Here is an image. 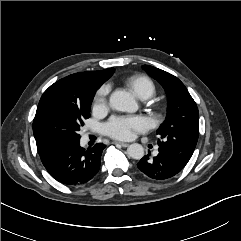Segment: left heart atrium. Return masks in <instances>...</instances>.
Instances as JSON below:
<instances>
[{
  "instance_id": "obj_1",
  "label": "left heart atrium",
  "mask_w": 241,
  "mask_h": 241,
  "mask_svg": "<svg viewBox=\"0 0 241 241\" xmlns=\"http://www.w3.org/2000/svg\"><path fill=\"white\" fill-rule=\"evenodd\" d=\"M148 122L142 116H115L105 125L107 135L118 140H130L138 131H144Z\"/></svg>"
}]
</instances>
